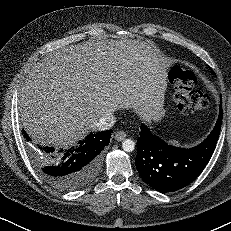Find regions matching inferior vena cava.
<instances>
[{"label": "inferior vena cava", "mask_w": 231, "mask_h": 231, "mask_svg": "<svg viewBox=\"0 0 231 231\" xmlns=\"http://www.w3.org/2000/svg\"><path fill=\"white\" fill-rule=\"evenodd\" d=\"M115 122L116 118L113 115L102 117L98 122L95 123V129L99 131L108 130L114 125Z\"/></svg>", "instance_id": "1"}]
</instances>
